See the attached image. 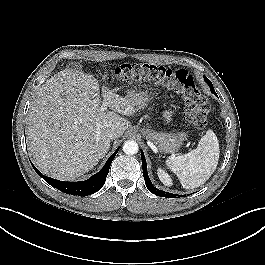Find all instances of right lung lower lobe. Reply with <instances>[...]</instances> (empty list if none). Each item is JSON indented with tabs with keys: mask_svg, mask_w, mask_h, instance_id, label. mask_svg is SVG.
<instances>
[{
	"mask_svg": "<svg viewBox=\"0 0 265 265\" xmlns=\"http://www.w3.org/2000/svg\"><path fill=\"white\" fill-rule=\"evenodd\" d=\"M118 150L119 148L110 156V158L105 163L104 167L97 174H95L86 181H80V182H64L44 176L36 169V167L32 163L31 164L34 170L37 172V174L40 177H42L52 187H55L58 190L71 195L88 196L89 194H93L103 187L110 169L111 162L113 161Z\"/></svg>",
	"mask_w": 265,
	"mask_h": 265,
	"instance_id": "right-lung-lower-lobe-1",
	"label": "right lung lower lobe"
}]
</instances>
